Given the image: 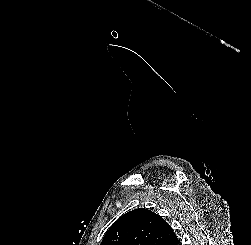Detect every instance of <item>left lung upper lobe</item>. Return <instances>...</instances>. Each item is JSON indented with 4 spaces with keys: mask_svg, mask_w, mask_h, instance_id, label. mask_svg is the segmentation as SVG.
Listing matches in <instances>:
<instances>
[{
    "mask_svg": "<svg viewBox=\"0 0 251 245\" xmlns=\"http://www.w3.org/2000/svg\"><path fill=\"white\" fill-rule=\"evenodd\" d=\"M170 225L148 209L122 215L106 232L100 245H179Z\"/></svg>",
    "mask_w": 251,
    "mask_h": 245,
    "instance_id": "obj_1",
    "label": "left lung upper lobe"
}]
</instances>
